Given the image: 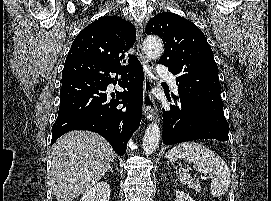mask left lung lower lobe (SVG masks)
Segmentation results:
<instances>
[{"instance_id": "1", "label": "left lung lower lobe", "mask_w": 271, "mask_h": 201, "mask_svg": "<svg viewBox=\"0 0 271 201\" xmlns=\"http://www.w3.org/2000/svg\"><path fill=\"white\" fill-rule=\"evenodd\" d=\"M170 109H163V142L175 144L197 139H227L215 137L204 127L199 111L179 96L167 95Z\"/></svg>"}]
</instances>
